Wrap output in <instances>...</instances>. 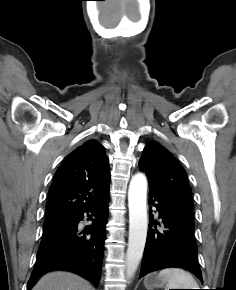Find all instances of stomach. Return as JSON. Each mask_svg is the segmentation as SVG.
I'll use <instances>...</instances> for the list:
<instances>
[{
    "mask_svg": "<svg viewBox=\"0 0 236 290\" xmlns=\"http://www.w3.org/2000/svg\"><path fill=\"white\" fill-rule=\"evenodd\" d=\"M165 282H166L165 279L159 277L155 273L149 274L144 279V285L148 290H153L154 288L162 287Z\"/></svg>",
    "mask_w": 236,
    "mask_h": 290,
    "instance_id": "obj_1",
    "label": "stomach"
}]
</instances>
